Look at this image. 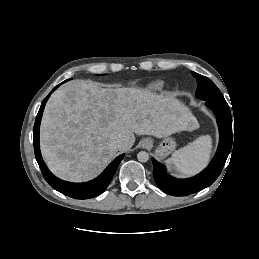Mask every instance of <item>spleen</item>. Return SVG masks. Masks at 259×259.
<instances>
[{
  "label": "spleen",
  "mask_w": 259,
  "mask_h": 259,
  "mask_svg": "<svg viewBox=\"0 0 259 259\" xmlns=\"http://www.w3.org/2000/svg\"><path fill=\"white\" fill-rule=\"evenodd\" d=\"M211 150V136H201L187 146L175 151L169 161L181 174L194 175L208 164Z\"/></svg>",
  "instance_id": "3e777b00"
}]
</instances>
